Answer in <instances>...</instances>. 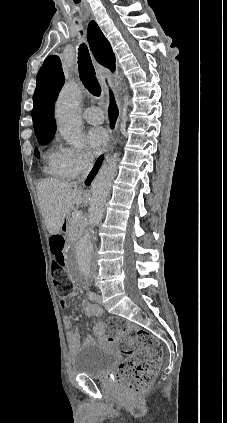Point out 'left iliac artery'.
Wrapping results in <instances>:
<instances>
[{"label":"left iliac artery","mask_w":227,"mask_h":423,"mask_svg":"<svg viewBox=\"0 0 227 423\" xmlns=\"http://www.w3.org/2000/svg\"><path fill=\"white\" fill-rule=\"evenodd\" d=\"M87 289H88V288H87ZM87 295H88V297H89V299H90L91 301H95V300H97V295H96V293H94V292H92V291L88 290Z\"/></svg>","instance_id":"left-iliac-artery-1"}]
</instances>
